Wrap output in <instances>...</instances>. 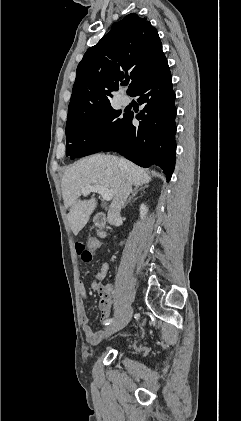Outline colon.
<instances>
[{
  "label": "colon",
  "instance_id": "5ec220e1",
  "mask_svg": "<svg viewBox=\"0 0 241 421\" xmlns=\"http://www.w3.org/2000/svg\"><path fill=\"white\" fill-rule=\"evenodd\" d=\"M96 240H89L87 242H77L75 244V250L79 258L83 262H90L93 258V251L97 248Z\"/></svg>",
  "mask_w": 241,
  "mask_h": 421
}]
</instances>
